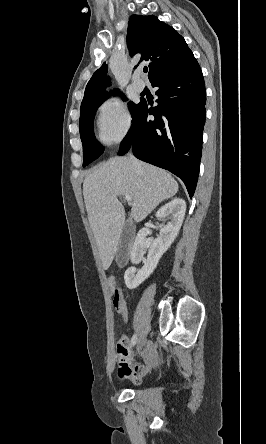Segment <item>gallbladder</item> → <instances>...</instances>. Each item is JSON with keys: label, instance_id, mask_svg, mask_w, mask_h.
Here are the masks:
<instances>
[{"label": "gallbladder", "instance_id": "bac80fb5", "mask_svg": "<svg viewBox=\"0 0 266 444\" xmlns=\"http://www.w3.org/2000/svg\"><path fill=\"white\" fill-rule=\"evenodd\" d=\"M130 233H131L130 224L129 222H126L123 226L122 236H121V246L117 252V257H116V261L119 267H122L126 261L125 244L129 241Z\"/></svg>", "mask_w": 266, "mask_h": 444}]
</instances>
